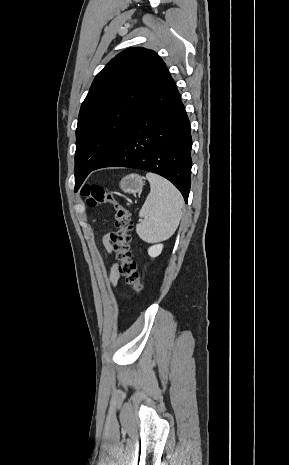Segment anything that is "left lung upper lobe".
Segmentation results:
<instances>
[{
    "instance_id": "obj_1",
    "label": "left lung upper lobe",
    "mask_w": 289,
    "mask_h": 465,
    "mask_svg": "<svg viewBox=\"0 0 289 465\" xmlns=\"http://www.w3.org/2000/svg\"><path fill=\"white\" fill-rule=\"evenodd\" d=\"M170 78L162 59L141 47L122 51L96 75L78 117L75 190Z\"/></svg>"
}]
</instances>
